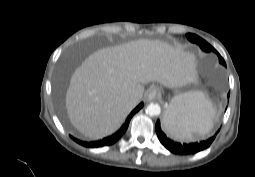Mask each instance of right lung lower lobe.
Here are the masks:
<instances>
[{"instance_id": "right-lung-lower-lobe-1", "label": "right lung lower lobe", "mask_w": 255, "mask_h": 177, "mask_svg": "<svg viewBox=\"0 0 255 177\" xmlns=\"http://www.w3.org/2000/svg\"><path fill=\"white\" fill-rule=\"evenodd\" d=\"M143 107V103H140L132 112L131 114L128 116V118L126 119V122L122 125V127L113 135L108 136L102 140H98V141H93V142H84L81 140H78L74 137L71 136V138L77 142L78 144L84 146V147H103V146H108V145H112L114 143H116L121 137L122 135L125 133V131L128 128L129 122L132 118V116L138 112L141 108Z\"/></svg>"}]
</instances>
